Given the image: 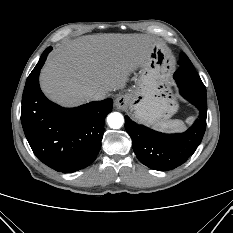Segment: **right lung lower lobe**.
Listing matches in <instances>:
<instances>
[{
	"label": "right lung lower lobe",
	"instance_id": "right-lung-lower-lobe-1",
	"mask_svg": "<svg viewBox=\"0 0 233 233\" xmlns=\"http://www.w3.org/2000/svg\"><path fill=\"white\" fill-rule=\"evenodd\" d=\"M47 48L26 80L22 97L21 122L34 154L50 168L72 173L90 165L101 148L105 117L112 99L94 101L73 109L49 101L39 86V73Z\"/></svg>",
	"mask_w": 233,
	"mask_h": 233
}]
</instances>
